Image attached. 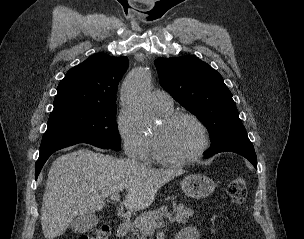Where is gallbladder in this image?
Here are the masks:
<instances>
[{"instance_id":"obj_1","label":"gallbladder","mask_w":304,"mask_h":239,"mask_svg":"<svg viewBox=\"0 0 304 239\" xmlns=\"http://www.w3.org/2000/svg\"><path fill=\"white\" fill-rule=\"evenodd\" d=\"M97 222V217L93 214L77 216L70 223V228L75 233H85L88 230L92 229L97 224Z\"/></svg>"}]
</instances>
